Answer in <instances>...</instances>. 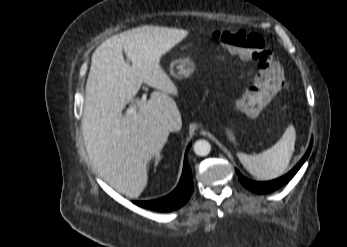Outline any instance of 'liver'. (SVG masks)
Masks as SVG:
<instances>
[{
  "label": "liver",
  "mask_w": 347,
  "mask_h": 247,
  "mask_svg": "<svg viewBox=\"0 0 347 247\" xmlns=\"http://www.w3.org/2000/svg\"><path fill=\"white\" fill-rule=\"evenodd\" d=\"M187 34L144 26L108 38L92 54L82 118L86 151L98 174L128 197L137 198L147 185L149 162L168 139L163 123L173 120V131L182 127L176 102L168 95H178V89L160 58ZM142 83L161 92L137 105L135 114L122 115Z\"/></svg>",
  "instance_id": "1"
}]
</instances>
